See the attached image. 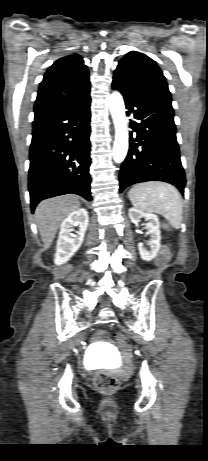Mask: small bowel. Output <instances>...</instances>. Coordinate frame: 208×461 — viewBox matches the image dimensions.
Returning a JSON list of instances; mask_svg holds the SVG:
<instances>
[{
  "instance_id": "obj_1",
  "label": "small bowel",
  "mask_w": 208,
  "mask_h": 461,
  "mask_svg": "<svg viewBox=\"0 0 208 461\" xmlns=\"http://www.w3.org/2000/svg\"><path fill=\"white\" fill-rule=\"evenodd\" d=\"M162 253H164V255H165V258H166V257H167V252H166V250H163V252H162Z\"/></svg>"
}]
</instances>
